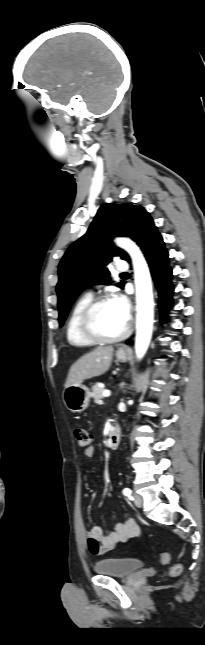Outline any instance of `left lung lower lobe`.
I'll use <instances>...</instances> for the list:
<instances>
[{
  "label": "left lung lower lobe",
  "mask_w": 205,
  "mask_h": 645,
  "mask_svg": "<svg viewBox=\"0 0 205 645\" xmlns=\"http://www.w3.org/2000/svg\"><path fill=\"white\" fill-rule=\"evenodd\" d=\"M146 260L149 264L153 280L159 293V308L161 319L165 320L167 311L172 307V268L169 265V254L165 248L162 236L155 225H152L140 241ZM129 344L132 342L129 341Z\"/></svg>",
  "instance_id": "obj_1"
}]
</instances>
